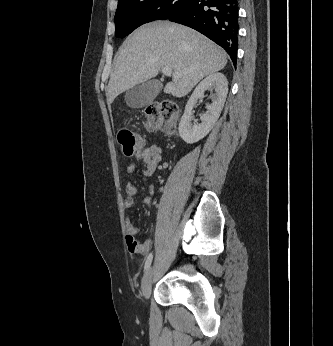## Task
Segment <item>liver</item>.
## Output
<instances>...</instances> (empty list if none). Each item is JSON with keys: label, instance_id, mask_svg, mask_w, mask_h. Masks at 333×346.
Masks as SVG:
<instances>
[{"label": "liver", "instance_id": "liver-1", "mask_svg": "<svg viewBox=\"0 0 333 346\" xmlns=\"http://www.w3.org/2000/svg\"><path fill=\"white\" fill-rule=\"evenodd\" d=\"M226 64L225 51L197 31L170 22L149 23L119 48L107 87V102L111 104L119 94L157 76L163 67L179 75L166 84L164 93L183 97L202 78Z\"/></svg>", "mask_w": 333, "mask_h": 346}]
</instances>
